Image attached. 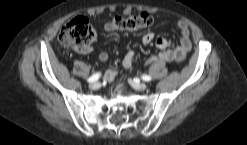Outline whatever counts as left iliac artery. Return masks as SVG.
<instances>
[{
    "label": "left iliac artery",
    "mask_w": 247,
    "mask_h": 145,
    "mask_svg": "<svg viewBox=\"0 0 247 145\" xmlns=\"http://www.w3.org/2000/svg\"><path fill=\"white\" fill-rule=\"evenodd\" d=\"M141 78L142 80L147 81V82L151 81L152 79L149 75H143Z\"/></svg>",
    "instance_id": "44dca946"
}]
</instances>
